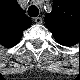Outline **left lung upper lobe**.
Here are the masks:
<instances>
[{
  "label": "left lung upper lobe",
  "mask_w": 80,
  "mask_h": 80,
  "mask_svg": "<svg viewBox=\"0 0 80 80\" xmlns=\"http://www.w3.org/2000/svg\"><path fill=\"white\" fill-rule=\"evenodd\" d=\"M69 1L54 0L52 12L46 14L45 22L55 39L61 44L72 45L76 39L74 37L76 20L69 9Z\"/></svg>",
  "instance_id": "1"
}]
</instances>
